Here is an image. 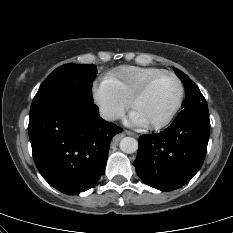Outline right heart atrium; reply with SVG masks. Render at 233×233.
Masks as SVG:
<instances>
[{
	"label": "right heart atrium",
	"instance_id": "d8ad5b80",
	"mask_svg": "<svg viewBox=\"0 0 233 233\" xmlns=\"http://www.w3.org/2000/svg\"><path fill=\"white\" fill-rule=\"evenodd\" d=\"M92 94L95 103L107 120L117 119L125 111L126 103L113 94L103 83L94 85Z\"/></svg>",
	"mask_w": 233,
	"mask_h": 233
}]
</instances>
